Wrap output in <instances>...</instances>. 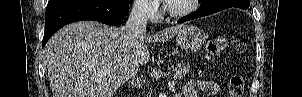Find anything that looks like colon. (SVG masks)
Wrapping results in <instances>:
<instances>
[{"instance_id": "5ec220e1", "label": "colon", "mask_w": 302, "mask_h": 97, "mask_svg": "<svg viewBox=\"0 0 302 97\" xmlns=\"http://www.w3.org/2000/svg\"><path fill=\"white\" fill-rule=\"evenodd\" d=\"M229 42L235 44L237 51L243 52L245 50V44L235 39V37L218 36L210 39L205 45V56L207 59L216 58L221 51L228 45ZM244 91V81L239 76L231 78L229 83V96L230 97H242Z\"/></svg>"}]
</instances>
